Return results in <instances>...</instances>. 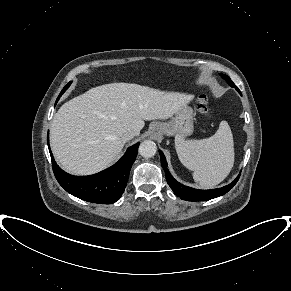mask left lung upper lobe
Returning <instances> with one entry per match:
<instances>
[{
	"label": "left lung upper lobe",
	"mask_w": 291,
	"mask_h": 291,
	"mask_svg": "<svg viewBox=\"0 0 291 291\" xmlns=\"http://www.w3.org/2000/svg\"><path fill=\"white\" fill-rule=\"evenodd\" d=\"M226 81H227V83L231 86V87H234V88H236V90H238V92H240L239 91V89L236 87V85L231 81V79L227 76V75H224V74H220Z\"/></svg>",
	"instance_id": "obj_1"
}]
</instances>
